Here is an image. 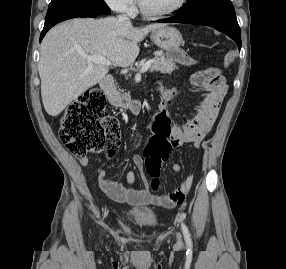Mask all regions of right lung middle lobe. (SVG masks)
Returning a JSON list of instances; mask_svg holds the SVG:
<instances>
[{"label":"right lung middle lobe","instance_id":"obj_1","mask_svg":"<svg viewBox=\"0 0 286 269\" xmlns=\"http://www.w3.org/2000/svg\"><path fill=\"white\" fill-rule=\"evenodd\" d=\"M109 13L111 11L103 0H51L44 25L82 14Z\"/></svg>","mask_w":286,"mask_h":269}]
</instances>
